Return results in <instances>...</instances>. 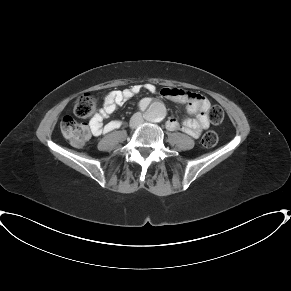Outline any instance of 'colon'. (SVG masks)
<instances>
[{
    "label": "colon",
    "instance_id": "colon-1",
    "mask_svg": "<svg viewBox=\"0 0 291 291\" xmlns=\"http://www.w3.org/2000/svg\"><path fill=\"white\" fill-rule=\"evenodd\" d=\"M97 107V99L93 94L86 93L80 96L74 106V113L77 118L85 119L90 117ZM209 120L213 124H220L223 121L224 112L219 105H213L208 109ZM62 135L74 146H83L91 138V128L87 124L79 123L75 118L67 116L62 119L60 124ZM218 141L215 132L209 131L204 134L202 144L213 147Z\"/></svg>",
    "mask_w": 291,
    "mask_h": 291
}]
</instances>
